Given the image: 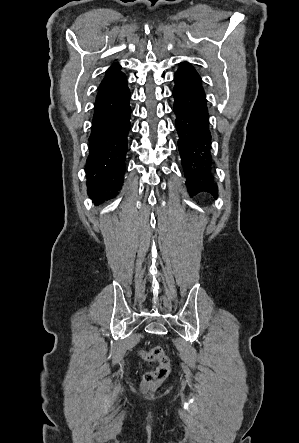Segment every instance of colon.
<instances>
[{
    "instance_id": "colon-1",
    "label": "colon",
    "mask_w": 299,
    "mask_h": 443,
    "mask_svg": "<svg viewBox=\"0 0 299 443\" xmlns=\"http://www.w3.org/2000/svg\"><path fill=\"white\" fill-rule=\"evenodd\" d=\"M144 359L149 362H157L155 370L143 375L141 388L143 391H150L158 387L170 373V359L162 347H153L149 351L141 352Z\"/></svg>"
}]
</instances>
